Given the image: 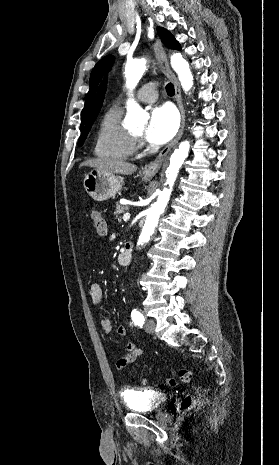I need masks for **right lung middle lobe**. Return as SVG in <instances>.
<instances>
[{"instance_id":"dd1d6c3e","label":"right lung middle lobe","mask_w":279,"mask_h":465,"mask_svg":"<svg viewBox=\"0 0 279 465\" xmlns=\"http://www.w3.org/2000/svg\"><path fill=\"white\" fill-rule=\"evenodd\" d=\"M89 130H90V129H89ZM89 130L86 131L85 133H82V135L80 136L79 142H78V145H79V146H81V145L83 144L84 140H85L86 137H87V134H88Z\"/></svg>"}]
</instances>
